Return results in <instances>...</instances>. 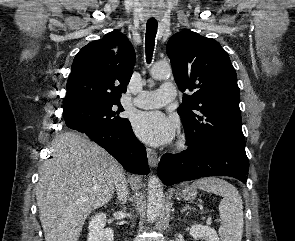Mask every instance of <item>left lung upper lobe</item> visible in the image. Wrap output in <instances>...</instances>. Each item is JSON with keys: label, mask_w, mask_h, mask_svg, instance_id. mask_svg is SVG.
I'll return each mask as SVG.
<instances>
[{"label": "left lung upper lobe", "mask_w": 295, "mask_h": 241, "mask_svg": "<svg viewBox=\"0 0 295 241\" xmlns=\"http://www.w3.org/2000/svg\"><path fill=\"white\" fill-rule=\"evenodd\" d=\"M166 52L183 94L178 113L190 148L223 145L245 152L236 71L220 44L189 30L174 34Z\"/></svg>", "instance_id": "left-lung-upper-lobe-1"}]
</instances>
